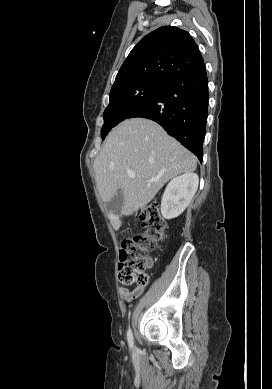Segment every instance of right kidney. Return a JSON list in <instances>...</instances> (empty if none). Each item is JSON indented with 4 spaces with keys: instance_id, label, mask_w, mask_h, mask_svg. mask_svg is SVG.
Here are the masks:
<instances>
[{
    "instance_id": "ca27d5eb",
    "label": "right kidney",
    "mask_w": 272,
    "mask_h": 389,
    "mask_svg": "<svg viewBox=\"0 0 272 389\" xmlns=\"http://www.w3.org/2000/svg\"><path fill=\"white\" fill-rule=\"evenodd\" d=\"M198 183V175L191 172L168 183L161 201V213L165 219H173L183 213L196 193Z\"/></svg>"
}]
</instances>
